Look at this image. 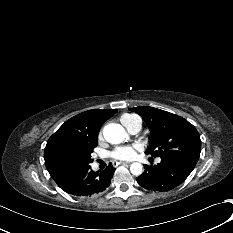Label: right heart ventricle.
<instances>
[{
	"label": "right heart ventricle",
	"mask_w": 233,
	"mask_h": 233,
	"mask_svg": "<svg viewBox=\"0 0 233 233\" xmlns=\"http://www.w3.org/2000/svg\"><path fill=\"white\" fill-rule=\"evenodd\" d=\"M137 119H140L137 115L123 114L119 120L125 128L129 129Z\"/></svg>",
	"instance_id": "1"
}]
</instances>
